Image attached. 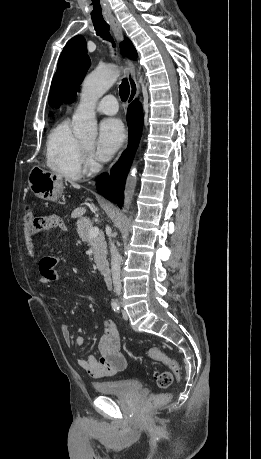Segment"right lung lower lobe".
I'll return each mask as SVG.
<instances>
[{"label": "right lung lower lobe", "mask_w": 261, "mask_h": 459, "mask_svg": "<svg viewBox=\"0 0 261 459\" xmlns=\"http://www.w3.org/2000/svg\"><path fill=\"white\" fill-rule=\"evenodd\" d=\"M127 123L129 128L128 148L112 168L110 176L106 173L101 175L96 184L98 191L108 200L117 203L119 207L123 205L126 177L142 134L143 110L138 100H134L128 107Z\"/></svg>", "instance_id": "obj_1"}]
</instances>
